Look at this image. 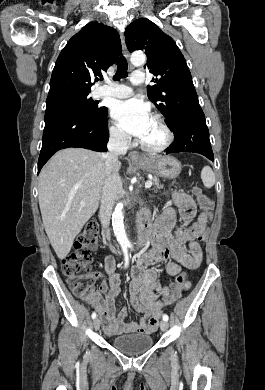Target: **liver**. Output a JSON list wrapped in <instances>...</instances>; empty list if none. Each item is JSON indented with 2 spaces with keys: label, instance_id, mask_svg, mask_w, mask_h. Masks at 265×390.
<instances>
[{
  "label": "liver",
  "instance_id": "6515ba94",
  "mask_svg": "<svg viewBox=\"0 0 265 390\" xmlns=\"http://www.w3.org/2000/svg\"><path fill=\"white\" fill-rule=\"evenodd\" d=\"M120 168L117 160L112 172L119 176ZM105 179L103 154L83 148L57 152L41 170L38 199L43 226L59 259L68 255L75 237L97 211Z\"/></svg>",
  "mask_w": 265,
  "mask_h": 390
}]
</instances>
